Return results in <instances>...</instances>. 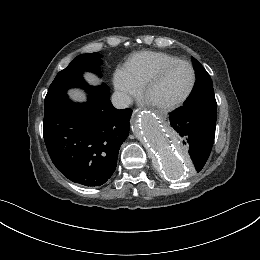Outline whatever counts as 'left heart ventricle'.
<instances>
[{
	"label": "left heart ventricle",
	"instance_id": "b2bd125f",
	"mask_svg": "<svg viewBox=\"0 0 260 260\" xmlns=\"http://www.w3.org/2000/svg\"><path fill=\"white\" fill-rule=\"evenodd\" d=\"M192 79L191 69L186 64L172 68L150 93V101L156 104L169 103L180 98Z\"/></svg>",
	"mask_w": 260,
	"mask_h": 260
}]
</instances>
